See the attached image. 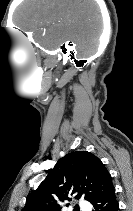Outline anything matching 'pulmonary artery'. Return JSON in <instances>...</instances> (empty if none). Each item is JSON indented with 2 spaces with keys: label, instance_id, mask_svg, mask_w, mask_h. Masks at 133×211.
Here are the masks:
<instances>
[{
  "label": "pulmonary artery",
  "instance_id": "1",
  "mask_svg": "<svg viewBox=\"0 0 133 211\" xmlns=\"http://www.w3.org/2000/svg\"><path fill=\"white\" fill-rule=\"evenodd\" d=\"M79 206L82 209V211H90L89 204L86 201H84V200H80Z\"/></svg>",
  "mask_w": 133,
  "mask_h": 211
}]
</instances>
